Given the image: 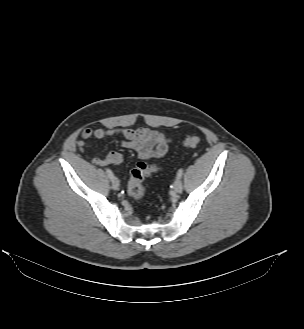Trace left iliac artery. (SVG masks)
<instances>
[{
  "label": "left iliac artery",
  "mask_w": 304,
  "mask_h": 329,
  "mask_svg": "<svg viewBox=\"0 0 304 329\" xmlns=\"http://www.w3.org/2000/svg\"><path fill=\"white\" fill-rule=\"evenodd\" d=\"M183 175V169H179L178 172H177V177L181 178Z\"/></svg>",
  "instance_id": "1"
}]
</instances>
